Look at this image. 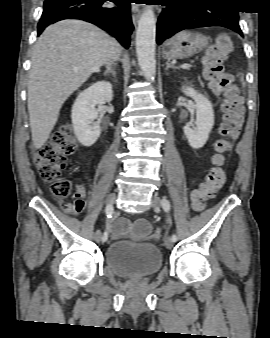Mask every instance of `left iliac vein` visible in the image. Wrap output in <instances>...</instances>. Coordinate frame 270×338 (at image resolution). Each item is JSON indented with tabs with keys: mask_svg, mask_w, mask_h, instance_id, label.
<instances>
[{
	"mask_svg": "<svg viewBox=\"0 0 270 338\" xmlns=\"http://www.w3.org/2000/svg\"><path fill=\"white\" fill-rule=\"evenodd\" d=\"M161 207V199L158 196H154L152 199V208L155 211L160 210ZM164 245L167 249H171L173 247V241L170 237L165 238Z\"/></svg>",
	"mask_w": 270,
	"mask_h": 338,
	"instance_id": "4c4485c4",
	"label": "left iliac vein"
}]
</instances>
